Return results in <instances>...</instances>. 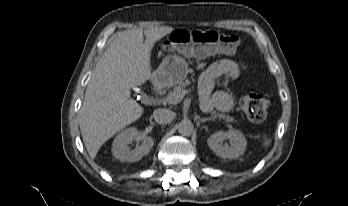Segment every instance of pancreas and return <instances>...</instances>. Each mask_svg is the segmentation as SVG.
I'll return each mask as SVG.
<instances>
[{
    "mask_svg": "<svg viewBox=\"0 0 348 206\" xmlns=\"http://www.w3.org/2000/svg\"><path fill=\"white\" fill-rule=\"evenodd\" d=\"M190 85V81L187 79L184 82L179 83L177 86L173 88V92H180L185 90V88ZM170 94V93H169ZM211 119H219V120H224L225 122H235L236 120L234 117L226 114H220V113H215L211 112Z\"/></svg>",
    "mask_w": 348,
    "mask_h": 206,
    "instance_id": "cf45deb5",
    "label": "pancreas"
}]
</instances>
